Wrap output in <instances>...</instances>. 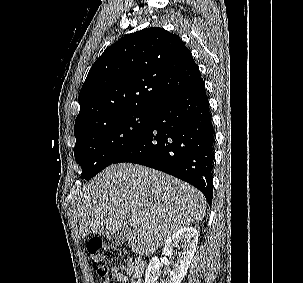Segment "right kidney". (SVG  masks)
I'll return each mask as SVG.
<instances>
[{"mask_svg": "<svg viewBox=\"0 0 303 283\" xmlns=\"http://www.w3.org/2000/svg\"><path fill=\"white\" fill-rule=\"evenodd\" d=\"M198 231L193 227H183L172 234L162 250L163 260L172 254L179 243L182 244V252H178V258L172 269L169 270L165 280H158L161 272V262L157 256L153 257L146 269L145 283H181L191 264L198 245Z\"/></svg>", "mask_w": 303, "mask_h": 283, "instance_id": "1", "label": "right kidney"}]
</instances>
